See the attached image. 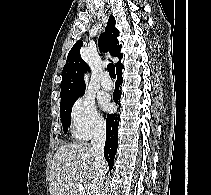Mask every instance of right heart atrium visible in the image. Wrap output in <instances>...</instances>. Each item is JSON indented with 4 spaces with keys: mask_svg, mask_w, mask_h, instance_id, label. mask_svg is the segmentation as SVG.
I'll list each match as a JSON object with an SVG mask.
<instances>
[{
    "mask_svg": "<svg viewBox=\"0 0 211 195\" xmlns=\"http://www.w3.org/2000/svg\"><path fill=\"white\" fill-rule=\"evenodd\" d=\"M104 119L89 96L79 97L71 110V128L79 139H89L104 129Z\"/></svg>",
    "mask_w": 211,
    "mask_h": 195,
    "instance_id": "1",
    "label": "right heart atrium"
}]
</instances>
